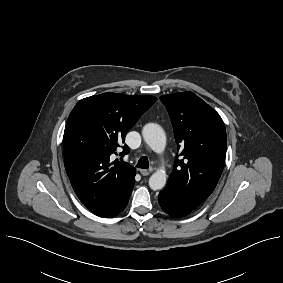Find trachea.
<instances>
[{
  "label": "trachea",
  "mask_w": 283,
  "mask_h": 283,
  "mask_svg": "<svg viewBox=\"0 0 283 283\" xmlns=\"http://www.w3.org/2000/svg\"><path fill=\"white\" fill-rule=\"evenodd\" d=\"M136 167L138 168H148L149 167V161L147 157H141L136 165Z\"/></svg>",
  "instance_id": "3493384b"
}]
</instances>
